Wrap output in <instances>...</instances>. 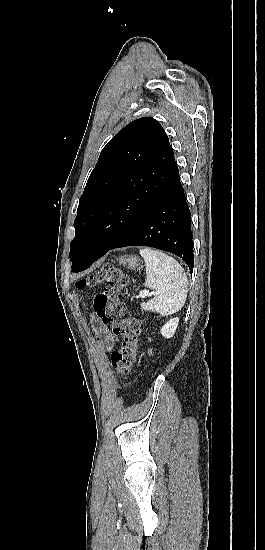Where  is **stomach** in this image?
<instances>
[{
    "label": "stomach",
    "mask_w": 265,
    "mask_h": 550,
    "mask_svg": "<svg viewBox=\"0 0 265 550\" xmlns=\"http://www.w3.org/2000/svg\"><path fill=\"white\" fill-rule=\"evenodd\" d=\"M121 265L126 266L129 269H136L140 265L139 258L133 255H125L119 259Z\"/></svg>",
    "instance_id": "stomach-1"
}]
</instances>
